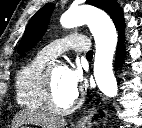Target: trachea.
Returning a JSON list of instances; mask_svg holds the SVG:
<instances>
[{
	"mask_svg": "<svg viewBox=\"0 0 142 128\" xmlns=\"http://www.w3.org/2000/svg\"><path fill=\"white\" fill-rule=\"evenodd\" d=\"M93 56V51H89L87 54H86V57H89V58H92Z\"/></svg>",
	"mask_w": 142,
	"mask_h": 128,
	"instance_id": "3493384b",
	"label": "trachea"
}]
</instances>
